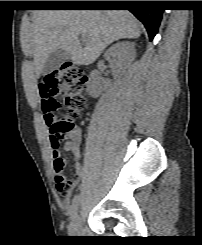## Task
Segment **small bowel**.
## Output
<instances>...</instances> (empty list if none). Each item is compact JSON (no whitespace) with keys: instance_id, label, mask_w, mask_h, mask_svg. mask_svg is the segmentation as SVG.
Here are the masks:
<instances>
[{"instance_id":"1","label":"small bowel","mask_w":202,"mask_h":245,"mask_svg":"<svg viewBox=\"0 0 202 245\" xmlns=\"http://www.w3.org/2000/svg\"><path fill=\"white\" fill-rule=\"evenodd\" d=\"M38 97L40 100H46L50 104L56 105V97L45 85L40 84L38 87ZM68 140L64 144V150L70 152L75 157L74 175L68 179L65 174L67 162L61 154L60 148L52 147V165L55 190L63 196H68L72 188L79 182L82 177L85 166L80 163V144L82 131L79 127H72L66 133ZM52 146V145H51Z\"/></svg>"}]
</instances>
